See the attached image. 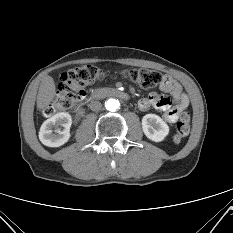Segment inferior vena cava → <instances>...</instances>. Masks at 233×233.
<instances>
[{
  "label": "inferior vena cava",
  "mask_w": 233,
  "mask_h": 233,
  "mask_svg": "<svg viewBox=\"0 0 233 233\" xmlns=\"http://www.w3.org/2000/svg\"><path fill=\"white\" fill-rule=\"evenodd\" d=\"M89 108L92 110V111H99L101 110L102 108V104L101 102L99 101H96V100H93L89 103Z\"/></svg>",
  "instance_id": "inferior-vena-cava-1"
}]
</instances>
